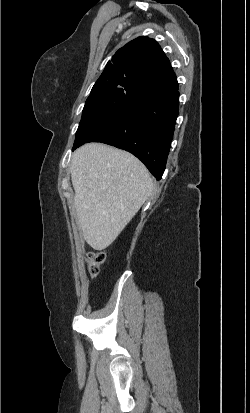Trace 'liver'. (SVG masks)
<instances>
[{
	"label": "liver",
	"mask_w": 250,
	"mask_h": 413,
	"mask_svg": "<svg viewBox=\"0 0 250 413\" xmlns=\"http://www.w3.org/2000/svg\"><path fill=\"white\" fill-rule=\"evenodd\" d=\"M71 180L83 237L98 251L113 243L153 190L148 170L135 156L99 143L73 153Z\"/></svg>",
	"instance_id": "1"
}]
</instances>
